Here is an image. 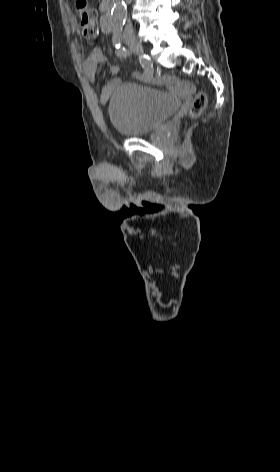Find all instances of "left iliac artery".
<instances>
[{
	"label": "left iliac artery",
	"instance_id": "left-iliac-artery-1",
	"mask_svg": "<svg viewBox=\"0 0 280 472\" xmlns=\"http://www.w3.org/2000/svg\"><path fill=\"white\" fill-rule=\"evenodd\" d=\"M122 42V27L121 25H116L113 29V45L115 47H120Z\"/></svg>",
	"mask_w": 280,
	"mask_h": 472
}]
</instances>
